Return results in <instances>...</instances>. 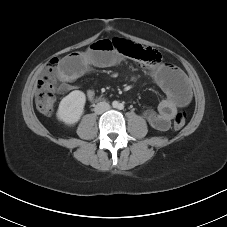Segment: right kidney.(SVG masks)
Returning <instances> with one entry per match:
<instances>
[{"label": "right kidney", "mask_w": 227, "mask_h": 227, "mask_svg": "<svg viewBox=\"0 0 227 227\" xmlns=\"http://www.w3.org/2000/svg\"><path fill=\"white\" fill-rule=\"evenodd\" d=\"M86 102L85 94L80 90L70 92L65 96L57 111L58 120L64 122L66 125H73L81 118Z\"/></svg>", "instance_id": "right-kidney-1"}]
</instances>
